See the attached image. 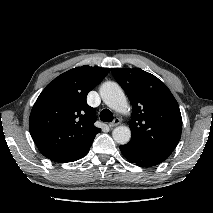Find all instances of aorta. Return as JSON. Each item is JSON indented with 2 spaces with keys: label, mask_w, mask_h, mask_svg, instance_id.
Masks as SVG:
<instances>
[{
  "label": "aorta",
  "mask_w": 213,
  "mask_h": 213,
  "mask_svg": "<svg viewBox=\"0 0 213 213\" xmlns=\"http://www.w3.org/2000/svg\"><path fill=\"white\" fill-rule=\"evenodd\" d=\"M100 95L103 102L119 113L128 111V103L122 88L115 82H106L100 87ZM114 141L118 144H127L131 138V130L128 126H118L112 132Z\"/></svg>",
  "instance_id": "aorta-1"
}]
</instances>
